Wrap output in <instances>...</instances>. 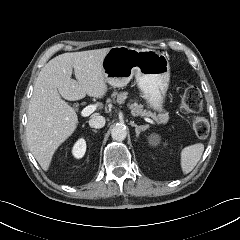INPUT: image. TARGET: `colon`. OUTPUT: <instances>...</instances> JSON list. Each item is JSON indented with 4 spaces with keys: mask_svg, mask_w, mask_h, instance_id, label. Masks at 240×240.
I'll return each instance as SVG.
<instances>
[{
    "mask_svg": "<svg viewBox=\"0 0 240 240\" xmlns=\"http://www.w3.org/2000/svg\"><path fill=\"white\" fill-rule=\"evenodd\" d=\"M181 109L193 113L191 127L198 137H205L209 132V123L206 118L197 115L203 108V98L200 90L189 84L181 94Z\"/></svg>",
    "mask_w": 240,
    "mask_h": 240,
    "instance_id": "5ec220e1",
    "label": "colon"
}]
</instances>
